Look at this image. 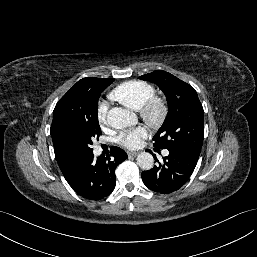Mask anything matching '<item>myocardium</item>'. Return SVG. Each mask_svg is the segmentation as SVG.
<instances>
[{
  "mask_svg": "<svg viewBox=\"0 0 257 257\" xmlns=\"http://www.w3.org/2000/svg\"><path fill=\"white\" fill-rule=\"evenodd\" d=\"M141 117L153 128L161 127L168 116L169 106L167 101L153 95L140 108Z\"/></svg>",
  "mask_w": 257,
  "mask_h": 257,
  "instance_id": "myocardium-1",
  "label": "myocardium"
}]
</instances>
